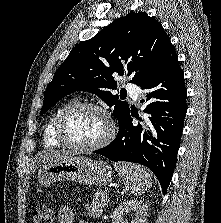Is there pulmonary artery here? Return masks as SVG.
I'll list each match as a JSON object with an SVG mask.
<instances>
[{
  "label": "pulmonary artery",
  "instance_id": "e3ab8cb5",
  "mask_svg": "<svg viewBox=\"0 0 221 223\" xmlns=\"http://www.w3.org/2000/svg\"><path fill=\"white\" fill-rule=\"evenodd\" d=\"M127 87L129 89V93L131 95V97L133 98V100H137L141 94V90L140 88L136 87L134 84L132 83H128Z\"/></svg>",
  "mask_w": 221,
  "mask_h": 223
}]
</instances>
